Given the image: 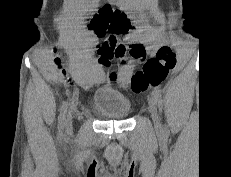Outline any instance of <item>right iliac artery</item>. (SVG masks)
<instances>
[{
	"instance_id": "82829eb1",
	"label": "right iliac artery",
	"mask_w": 231,
	"mask_h": 177,
	"mask_svg": "<svg viewBox=\"0 0 231 177\" xmlns=\"http://www.w3.org/2000/svg\"><path fill=\"white\" fill-rule=\"evenodd\" d=\"M67 108H68V102L65 101L61 107L60 115H59V130L60 131H62L65 126Z\"/></svg>"
}]
</instances>
